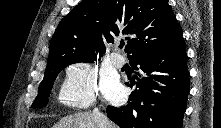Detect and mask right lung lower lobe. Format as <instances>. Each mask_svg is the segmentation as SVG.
<instances>
[{
	"instance_id": "obj_1",
	"label": "right lung lower lobe",
	"mask_w": 221,
	"mask_h": 128,
	"mask_svg": "<svg viewBox=\"0 0 221 128\" xmlns=\"http://www.w3.org/2000/svg\"><path fill=\"white\" fill-rule=\"evenodd\" d=\"M187 60L183 37L132 58L130 64L142 78L132 77L128 86L136 84L137 89L129 96L131 102L107 106L108 117L120 128H181L190 87Z\"/></svg>"
}]
</instances>
